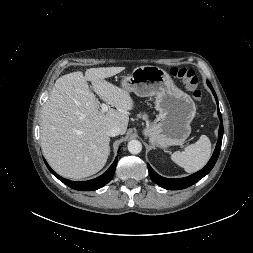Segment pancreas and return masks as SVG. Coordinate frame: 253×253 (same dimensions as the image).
<instances>
[{"label": "pancreas", "mask_w": 253, "mask_h": 253, "mask_svg": "<svg viewBox=\"0 0 253 253\" xmlns=\"http://www.w3.org/2000/svg\"><path fill=\"white\" fill-rule=\"evenodd\" d=\"M143 118H144V119H147V115H143Z\"/></svg>", "instance_id": "cf45deb5"}]
</instances>
